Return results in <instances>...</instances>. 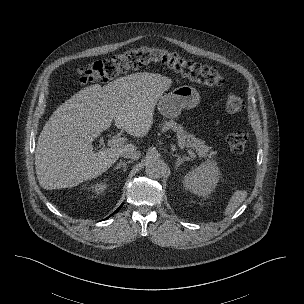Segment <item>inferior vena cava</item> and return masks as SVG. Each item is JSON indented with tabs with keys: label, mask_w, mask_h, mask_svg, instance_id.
I'll return each mask as SVG.
<instances>
[{
	"label": "inferior vena cava",
	"mask_w": 304,
	"mask_h": 304,
	"mask_svg": "<svg viewBox=\"0 0 304 304\" xmlns=\"http://www.w3.org/2000/svg\"><path fill=\"white\" fill-rule=\"evenodd\" d=\"M121 155L124 158H131V159L137 160L140 158L141 152L136 150L135 148H132V149L124 151Z\"/></svg>",
	"instance_id": "obj_1"
}]
</instances>
